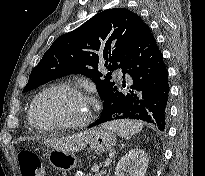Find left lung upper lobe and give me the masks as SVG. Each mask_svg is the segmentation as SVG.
<instances>
[{
	"label": "left lung upper lobe",
	"instance_id": "5c2ea615",
	"mask_svg": "<svg viewBox=\"0 0 205 176\" xmlns=\"http://www.w3.org/2000/svg\"><path fill=\"white\" fill-rule=\"evenodd\" d=\"M146 26L144 21L125 8L107 9L95 15L76 30L58 37L32 70L23 92L52 79L83 74L93 79L102 98L113 89L111 72L101 79L98 63L114 71Z\"/></svg>",
	"mask_w": 205,
	"mask_h": 176
}]
</instances>
